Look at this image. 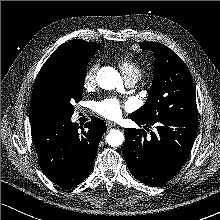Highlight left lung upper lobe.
<instances>
[{
	"instance_id": "5c2ea615",
	"label": "left lung upper lobe",
	"mask_w": 220,
	"mask_h": 220,
	"mask_svg": "<svg viewBox=\"0 0 220 220\" xmlns=\"http://www.w3.org/2000/svg\"><path fill=\"white\" fill-rule=\"evenodd\" d=\"M140 47L154 52V79L146 104L130 116L146 123L167 115L198 118L196 94L187 65L161 43L141 42Z\"/></svg>"
}]
</instances>
